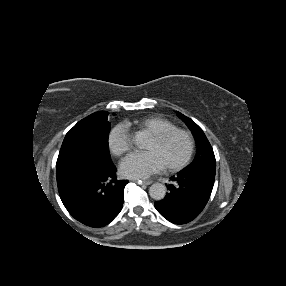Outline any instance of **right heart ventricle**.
<instances>
[{
	"instance_id": "1",
	"label": "right heart ventricle",
	"mask_w": 286,
	"mask_h": 286,
	"mask_svg": "<svg viewBox=\"0 0 286 286\" xmlns=\"http://www.w3.org/2000/svg\"><path fill=\"white\" fill-rule=\"evenodd\" d=\"M124 125L135 131H146L151 135L178 128L177 124L170 119L157 115L140 118L132 122L126 121Z\"/></svg>"
}]
</instances>
